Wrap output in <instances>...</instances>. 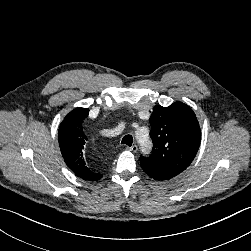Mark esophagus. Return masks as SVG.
I'll list each match as a JSON object with an SVG mask.
<instances>
[{
    "label": "esophagus",
    "mask_w": 251,
    "mask_h": 251,
    "mask_svg": "<svg viewBox=\"0 0 251 251\" xmlns=\"http://www.w3.org/2000/svg\"><path fill=\"white\" fill-rule=\"evenodd\" d=\"M131 152H137L138 150V146L137 145H133L131 147L128 148Z\"/></svg>",
    "instance_id": "1"
}]
</instances>
